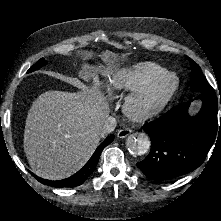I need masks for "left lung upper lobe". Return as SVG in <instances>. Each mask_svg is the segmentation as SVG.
Instances as JSON below:
<instances>
[{
  "instance_id": "left-lung-upper-lobe-1",
  "label": "left lung upper lobe",
  "mask_w": 221,
  "mask_h": 221,
  "mask_svg": "<svg viewBox=\"0 0 221 221\" xmlns=\"http://www.w3.org/2000/svg\"><path fill=\"white\" fill-rule=\"evenodd\" d=\"M191 66V81L190 87L195 92H213L214 89L208 84L204 77L199 65H197L192 59L188 58Z\"/></svg>"
}]
</instances>
